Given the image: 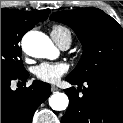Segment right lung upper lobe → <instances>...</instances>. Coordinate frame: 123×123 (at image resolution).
<instances>
[{"label": "right lung upper lobe", "instance_id": "cb5924a9", "mask_svg": "<svg viewBox=\"0 0 123 123\" xmlns=\"http://www.w3.org/2000/svg\"><path fill=\"white\" fill-rule=\"evenodd\" d=\"M10 11L17 15V17L25 23L36 24L40 21L47 19L50 10H40V11H21V10H12V9H2Z\"/></svg>", "mask_w": 123, "mask_h": 123}]
</instances>
